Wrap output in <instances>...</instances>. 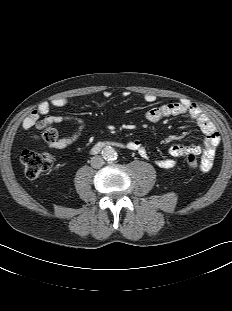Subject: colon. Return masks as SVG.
Listing matches in <instances>:
<instances>
[{"label":"colon","mask_w":232,"mask_h":311,"mask_svg":"<svg viewBox=\"0 0 232 311\" xmlns=\"http://www.w3.org/2000/svg\"><path fill=\"white\" fill-rule=\"evenodd\" d=\"M41 135L48 143L57 139L56 132L51 128H44ZM21 162L24 166L26 177L34 180L52 168L54 158L50 153L24 150L21 155ZM186 164L190 169H197L199 167L197 156L193 153L188 154L186 157Z\"/></svg>","instance_id":"colon-1"}]
</instances>
